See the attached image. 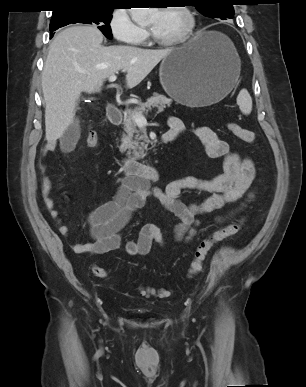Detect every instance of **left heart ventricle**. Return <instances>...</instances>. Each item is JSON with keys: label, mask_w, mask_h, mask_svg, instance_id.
Masks as SVG:
<instances>
[{"label": "left heart ventricle", "mask_w": 306, "mask_h": 387, "mask_svg": "<svg viewBox=\"0 0 306 387\" xmlns=\"http://www.w3.org/2000/svg\"><path fill=\"white\" fill-rule=\"evenodd\" d=\"M187 24L186 16L178 9H157L150 16L148 25L160 39H172L179 36Z\"/></svg>", "instance_id": "left-heart-ventricle-1"}]
</instances>
